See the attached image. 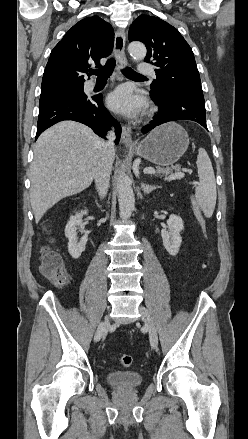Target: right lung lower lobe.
<instances>
[{
	"instance_id": "98d812e1",
	"label": "right lung lower lobe",
	"mask_w": 248,
	"mask_h": 439,
	"mask_svg": "<svg viewBox=\"0 0 248 439\" xmlns=\"http://www.w3.org/2000/svg\"><path fill=\"white\" fill-rule=\"evenodd\" d=\"M63 120L83 123L102 138H105L106 132L114 125L117 136L115 143L119 142L121 127L104 107L102 96H78L40 108L36 139L44 130Z\"/></svg>"
}]
</instances>
